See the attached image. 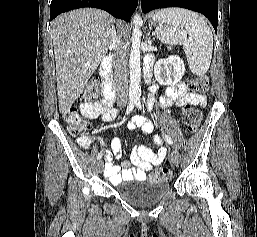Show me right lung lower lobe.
Returning a JSON list of instances; mask_svg holds the SVG:
<instances>
[{"label":"right lung lower lobe","instance_id":"right-lung-lower-lobe-1","mask_svg":"<svg viewBox=\"0 0 257 237\" xmlns=\"http://www.w3.org/2000/svg\"><path fill=\"white\" fill-rule=\"evenodd\" d=\"M138 4V0H52L50 21L57 15L77 8L93 7L105 10L116 18L129 21Z\"/></svg>","mask_w":257,"mask_h":237}]
</instances>
